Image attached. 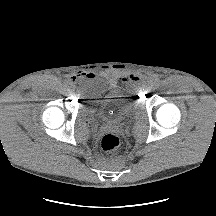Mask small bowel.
<instances>
[{
    "label": "small bowel",
    "mask_w": 216,
    "mask_h": 216,
    "mask_svg": "<svg viewBox=\"0 0 216 216\" xmlns=\"http://www.w3.org/2000/svg\"><path fill=\"white\" fill-rule=\"evenodd\" d=\"M85 77H87L89 80H92L94 79L95 75L94 74H91V73H87V74H84ZM74 79H77V77H74ZM136 80H139L138 76L136 75H129L127 77V81H136ZM94 89H103L102 87H94Z\"/></svg>",
    "instance_id": "c3829d8e"
}]
</instances>
